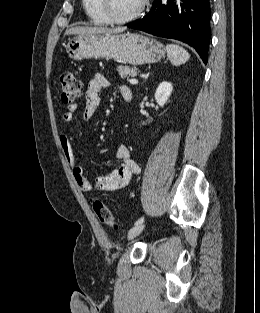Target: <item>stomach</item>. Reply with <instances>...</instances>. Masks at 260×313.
Here are the masks:
<instances>
[{"mask_svg": "<svg viewBox=\"0 0 260 313\" xmlns=\"http://www.w3.org/2000/svg\"><path fill=\"white\" fill-rule=\"evenodd\" d=\"M66 52L73 60L102 57L142 65L161 60L165 56V47L138 33H104L76 36L67 43Z\"/></svg>", "mask_w": 260, "mask_h": 313, "instance_id": "stomach-1", "label": "stomach"}]
</instances>
